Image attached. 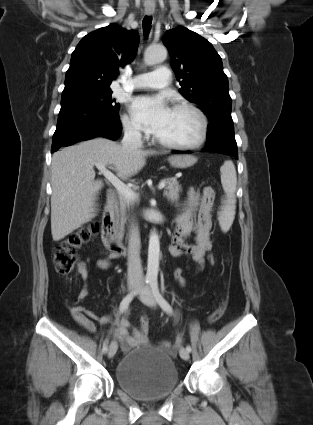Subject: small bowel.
I'll list each match as a JSON object with an SVG mask.
<instances>
[{
    "instance_id": "c3829d8e",
    "label": "small bowel",
    "mask_w": 313,
    "mask_h": 425,
    "mask_svg": "<svg viewBox=\"0 0 313 425\" xmlns=\"http://www.w3.org/2000/svg\"><path fill=\"white\" fill-rule=\"evenodd\" d=\"M214 202V190L211 187H205L201 192L190 188L187 193V201L182 212L176 217V229L172 236L169 251L172 256L189 255L199 265L202 270L205 264V254L212 249L209 232L212 227L211 210ZM194 234L196 244L189 245L185 238ZM117 255H112L109 259H100L97 265L100 269L107 270L112 266V259ZM83 276L86 271L82 270ZM88 296V289L84 287L78 294L77 301H83ZM74 321L93 333L96 330L95 322L107 323L111 320L109 316L97 315L79 305L72 306L70 309ZM114 337L122 343L124 349H130L145 341L139 336V331L133 328L126 319H121Z\"/></svg>"
}]
</instances>
